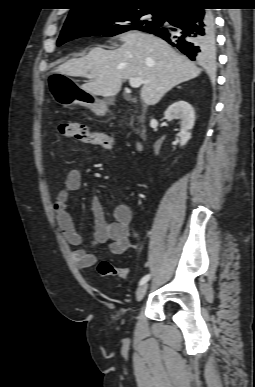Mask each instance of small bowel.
Returning a JSON list of instances; mask_svg holds the SVG:
<instances>
[{"label":"small bowel","instance_id":"1","mask_svg":"<svg viewBox=\"0 0 255 387\" xmlns=\"http://www.w3.org/2000/svg\"><path fill=\"white\" fill-rule=\"evenodd\" d=\"M81 184V171L76 168L70 169L66 174L63 187L55 198L53 208L56 213L57 224L63 236L69 244L75 247L72 251L74 262L79 268L86 269L94 266L99 257L82 247L83 238L77 232L73 218L67 208L70 195L79 190ZM91 207L95 227L93 245L109 243V251L114 255L122 254L136 247L131 241L133 213L128 205L120 204L115 207L111 222L107 221L104 206L98 197H92Z\"/></svg>","mask_w":255,"mask_h":387}]
</instances>
